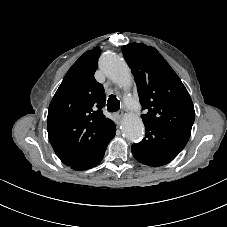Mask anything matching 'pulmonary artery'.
Wrapping results in <instances>:
<instances>
[{
	"instance_id": "pulmonary-artery-1",
	"label": "pulmonary artery",
	"mask_w": 227,
	"mask_h": 227,
	"mask_svg": "<svg viewBox=\"0 0 227 227\" xmlns=\"http://www.w3.org/2000/svg\"><path fill=\"white\" fill-rule=\"evenodd\" d=\"M128 106L131 110H134L138 107V104L136 103L135 99L134 98H131L129 101H128Z\"/></svg>"
}]
</instances>
